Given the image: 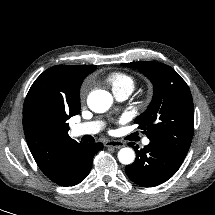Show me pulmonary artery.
Segmentation results:
<instances>
[{
    "mask_svg": "<svg viewBox=\"0 0 215 215\" xmlns=\"http://www.w3.org/2000/svg\"><path fill=\"white\" fill-rule=\"evenodd\" d=\"M131 92L129 91H121L114 93L116 99L118 101H124L126 100ZM102 122L100 121H91V122H84L80 124H76L72 127L71 133L75 137L83 136V135H93L98 133L102 129ZM150 143V140L148 138H145L143 140L144 145H148Z\"/></svg>",
    "mask_w": 215,
    "mask_h": 215,
    "instance_id": "e3ab8cb5",
    "label": "pulmonary artery"
}]
</instances>
